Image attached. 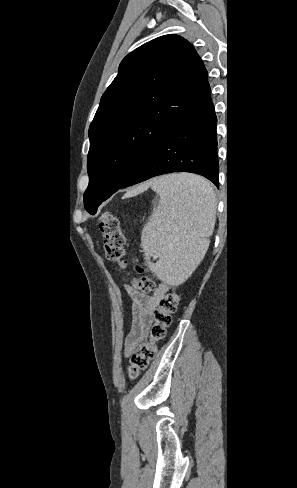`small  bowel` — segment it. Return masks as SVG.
<instances>
[{
  "mask_svg": "<svg viewBox=\"0 0 297 488\" xmlns=\"http://www.w3.org/2000/svg\"><path fill=\"white\" fill-rule=\"evenodd\" d=\"M169 290L170 285L166 282H160L151 294L139 292L131 287L127 288L132 301V326L126 341L129 352H135L145 341L153 321V312L160 298Z\"/></svg>",
  "mask_w": 297,
  "mask_h": 488,
  "instance_id": "obj_1",
  "label": "small bowel"
}]
</instances>
